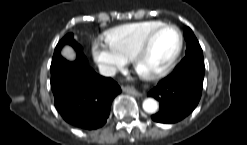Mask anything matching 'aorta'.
Here are the masks:
<instances>
[{"label": "aorta", "mask_w": 247, "mask_h": 145, "mask_svg": "<svg viewBox=\"0 0 247 145\" xmlns=\"http://www.w3.org/2000/svg\"><path fill=\"white\" fill-rule=\"evenodd\" d=\"M142 106L143 110L150 114H153L158 110V102L153 98L145 99Z\"/></svg>", "instance_id": "obj_1"}]
</instances>
